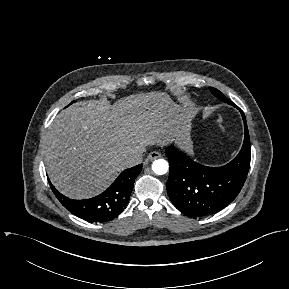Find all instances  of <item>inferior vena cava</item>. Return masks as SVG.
<instances>
[{
  "label": "inferior vena cava",
  "instance_id": "602c4592",
  "mask_svg": "<svg viewBox=\"0 0 289 289\" xmlns=\"http://www.w3.org/2000/svg\"><path fill=\"white\" fill-rule=\"evenodd\" d=\"M142 161V153H132L126 156L125 162L128 167L135 166Z\"/></svg>",
  "mask_w": 289,
  "mask_h": 289
}]
</instances>
